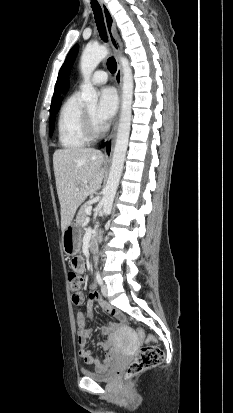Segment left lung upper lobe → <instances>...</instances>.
Here are the masks:
<instances>
[{
    "label": "left lung upper lobe",
    "instance_id": "left-lung-upper-lobe-1",
    "mask_svg": "<svg viewBox=\"0 0 233 413\" xmlns=\"http://www.w3.org/2000/svg\"><path fill=\"white\" fill-rule=\"evenodd\" d=\"M78 51V45L76 44L68 53L66 60L64 62V64L62 65L59 74H58V78H57V82L55 85V91H54V95H53V99H52V103H51V107H53V105L55 104V102L57 101L60 92H61V87L64 83V80L66 79V77L69 74L71 65L75 59L76 53Z\"/></svg>",
    "mask_w": 233,
    "mask_h": 413
}]
</instances>
